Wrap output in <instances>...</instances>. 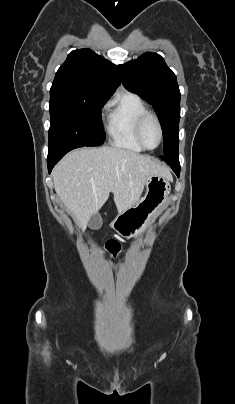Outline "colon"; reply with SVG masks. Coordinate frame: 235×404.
Segmentation results:
<instances>
[{
	"mask_svg": "<svg viewBox=\"0 0 235 404\" xmlns=\"http://www.w3.org/2000/svg\"><path fill=\"white\" fill-rule=\"evenodd\" d=\"M121 251V244L116 240H110L106 243L102 255H109L112 258H116Z\"/></svg>",
	"mask_w": 235,
	"mask_h": 404,
	"instance_id": "obj_1",
	"label": "colon"
}]
</instances>
